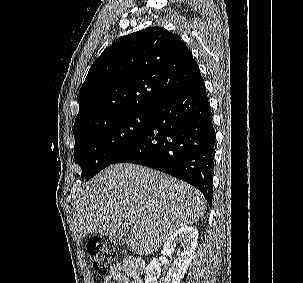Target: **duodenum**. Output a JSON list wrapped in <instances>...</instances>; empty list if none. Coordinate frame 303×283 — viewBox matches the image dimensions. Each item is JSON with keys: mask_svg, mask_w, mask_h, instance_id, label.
I'll use <instances>...</instances> for the list:
<instances>
[{"mask_svg": "<svg viewBox=\"0 0 303 283\" xmlns=\"http://www.w3.org/2000/svg\"><path fill=\"white\" fill-rule=\"evenodd\" d=\"M137 265H138L139 268H141V269L144 270V264H143L142 261L138 260V261H137Z\"/></svg>", "mask_w": 303, "mask_h": 283, "instance_id": "410a0bca", "label": "duodenum"}]
</instances>
